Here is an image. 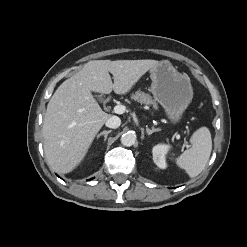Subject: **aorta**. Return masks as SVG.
Returning <instances> with one entry per match:
<instances>
[{
    "mask_svg": "<svg viewBox=\"0 0 247 247\" xmlns=\"http://www.w3.org/2000/svg\"><path fill=\"white\" fill-rule=\"evenodd\" d=\"M136 142V135L132 131H128L121 136V143L124 146H132Z\"/></svg>",
    "mask_w": 247,
    "mask_h": 247,
    "instance_id": "aorta-1",
    "label": "aorta"
}]
</instances>
